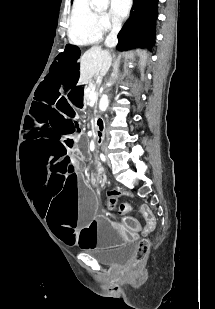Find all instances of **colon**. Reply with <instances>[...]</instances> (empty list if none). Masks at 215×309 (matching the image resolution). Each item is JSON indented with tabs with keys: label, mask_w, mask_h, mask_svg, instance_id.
Segmentation results:
<instances>
[{
	"label": "colon",
	"mask_w": 215,
	"mask_h": 309,
	"mask_svg": "<svg viewBox=\"0 0 215 309\" xmlns=\"http://www.w3.org/2000/svg\"><path fill=\"white\" fill-rule=\"evenodd\" d=\"M115 204H116V195L114 193H111L108 195L107 209L109 211H113L115 209ZM149 249H150V243L148 240L144 239L139 241L137 244L136 258L139 261L146 259Z\"/></svg>",
	"instance_id": "obj_1"
}]
</instances>
